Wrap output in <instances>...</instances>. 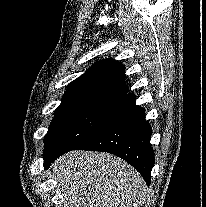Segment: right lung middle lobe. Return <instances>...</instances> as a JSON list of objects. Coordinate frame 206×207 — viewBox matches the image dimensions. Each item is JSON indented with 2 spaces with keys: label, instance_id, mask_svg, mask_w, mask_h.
I'll return each mask as SVG.
<instances>
[{
  "label": "right lung middle lobe",
  "instance_id": "obj_1",
  "mask_svg": "<svg viewBox=\"0 0 206 207\" xmlns=\"http://www.w3.org/2000/svg\"><path fill=\"white\" fill-rule=\"evenodd\" d=\"M129 104L128 96L63 101L45 136L44 154L77 146L120 116Z\"/></svg>",
  "mask_w": 206,
  "mask_h": 207
}]
</instances>
